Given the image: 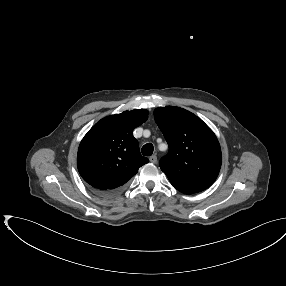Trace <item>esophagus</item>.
<instances>
[{"mask_svg":"<svg viewBox=\"0 0 286 286\" xmlns=\"http://www.w3.org/2000/svg\"><path fill=\"white\" fill-rule=\"evenodd\" d=\"M150 162L151 163H156L157 162V156L156 155H152L150 158H149Z\"/></svg>","mask_w":286,"mask_h":286,"instance_id":"esophagus-1","label":"esophagus"}]
</instances>
